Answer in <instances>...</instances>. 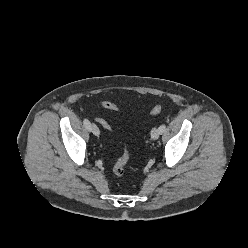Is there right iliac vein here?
Segmentation results:
<instances>
[{"label":"right iliac vein","mask_w":248,"mask_h":248,"mask_svg":"<svg viewBox=\"0 0 248 248\" xmlns=\"http://www.w3.org/2000/svg\"><path fill=\"white\" fill-rule=\"evenodd\" d=\"M90 130H91V132H92L95 136H99V135H100L99 128H98L95 124H92V125L90 126Z\"/></svg>","instance_id":"1"}]
</instances>
